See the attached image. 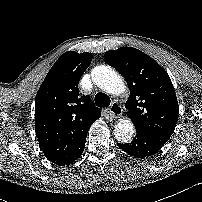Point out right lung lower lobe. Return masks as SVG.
<instances>
[{
  "label": "right lung lower lobe",
  "instance_id": "right-lung-lower-lobe-1",
  "mask_svg": "<svg viewBox=\"0 0 202 202\" xmlns=\"http://www.w3.org/2000/svg\"><path fill=\"white\" fill-rule=\"evenodd\" d=\"M91 125H92V123L87 128L85 135L83 136L79 145L74 149V151L72 153H70L68 156H65L64 158H62L63 162L57 161V162H55V164H58V165L67 164V165H69L70 163H72L73 161L77 160L80 157V155L82 154V152L84 150L87 132H88Z\"/></svg>",
  "mask_w": 202,
  "mask_h": 202
}]
</instances>
